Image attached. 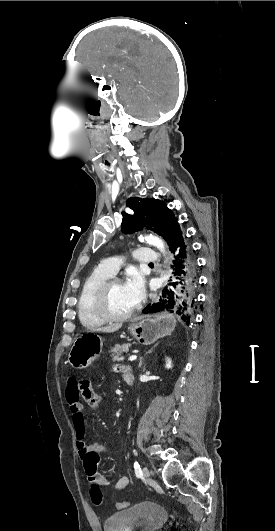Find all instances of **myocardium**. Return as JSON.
<instances>
[{
  "label": "myocardium",
  "instance_id": "f54148a6",
  "mask_svg": "<svg viewBox=\"0 0 275 531\" xmlns=\"http://www.w3.org/2000/svg\"><path fill=\"white\" fill-rule=\"evenodd\" d=\"M122 282L120 278L116 276H110L106 280H104L99 287L97 288V291L93 297L92 300V307L94 312L104 319L105 321L110 322H119V321H125L129 319L135 312V307L128 313L124 315H115L111 312L108 306V295H109V289L114 283Z\"/></svg>",
  "mask_w": 275,
  "mask_h": 531
}]
</instances>
